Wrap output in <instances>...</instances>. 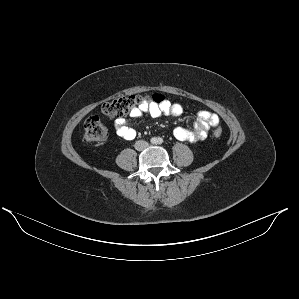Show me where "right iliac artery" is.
I'll return each instance as SVG.
<instances>
[{"label":"right iliac artery","mask_w":299,"mask_h":299,"mask_svg":"<svg viewBox=\"0 0 299 299\" xmlns=\"http://www.w3.org/2000/svg\"><path fill=\"white\" fill-rule=\"evenodd\" d=\"M151 144H156L157 143V138L153 137L150 140Z\"/></svg>","instance_id":"obj_1"}]
</instances>
